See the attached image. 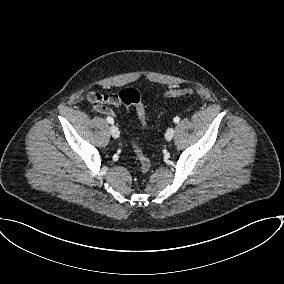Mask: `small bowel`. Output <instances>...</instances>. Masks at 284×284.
Instances as JSON below:
<instances>
[{"label": "small bowel", "mask_w": 284, "mask_h": 284, "mask_svg": "<svg viewBox=\"0 0 284 284\" xmlns=\"http://www.w3.org/2000/svg\"><path fill=\"white\" fill-rule=\"evenodd\" d=\"M87 101L92 105V110L99 114L115 116L114 111L109 106L120 108L123 106L118 94H103L99 92H88Z\"/></svg>", "instance_id": "small-bowel-1"}]
</instances>
